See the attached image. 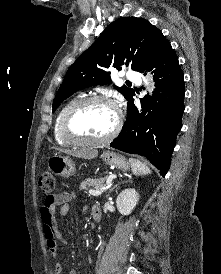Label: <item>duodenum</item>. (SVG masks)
<instances>
[{
  "label": "duodenum",
  "instance_id": "410a0bca",
  "mask_svg": "<svg viewBox=\"0 0 221 274\" xmlns=\"http://www.w3.org/2000/svg\"><path fill=\"white\" fill-rule=\"evenodd\" d=\"M92 216H93V219L96 222L100 221L101 216H102V212H101V209H100L99 206H93V208H92Z\"/></svg>",
  "mask_w": 221,
  "mask_h": 274
}]
</instances>
